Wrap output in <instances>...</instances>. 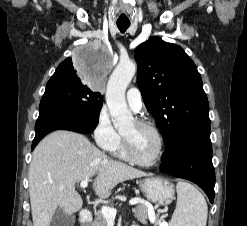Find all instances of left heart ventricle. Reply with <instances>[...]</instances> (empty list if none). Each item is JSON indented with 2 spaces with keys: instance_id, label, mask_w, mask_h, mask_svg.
Instances as JSON below:
<instances>
[{
  "instance_id": "left-heart-ventricle-1",
  "label": "left heart ventricle",
  "mask_w": 247,
  "mask_h": 226,
  "mask_svg": "<svg viewBox=\"0 0 247 226\" xmlns=\"http://www.w3.org/2000/svg\"><path fill=\"white\" fill-rule=\"evenodd\" d=\"M122 133L128 138L132 152L138 159L151 161L156 157L159 143L152 130L132 122Z\"/></svg>"
}]
</instances>
